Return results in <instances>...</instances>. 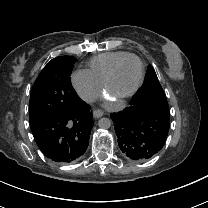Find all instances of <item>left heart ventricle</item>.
<instances>
[{"label":"left heart ventricle","instance_id":"obj_1","mask_svg":"<svg viewBox=\"0 0 208 208\" xmlns=\"http://www.w3.org/2000/svg\"><path fill=\"white\" fill-rule=\"evenodd\" d=\"M140 65L135 58L124 60L116 71L111 85L114 95H123L130 92L138 83Z\"/></svg>","mask_w":208,"mask_h":208}]
</instances>
